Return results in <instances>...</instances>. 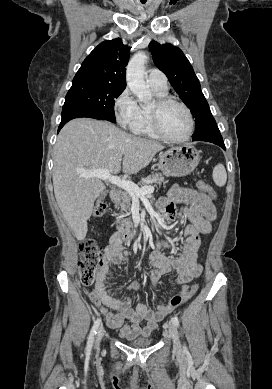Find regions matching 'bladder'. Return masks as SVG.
<instances>
[{
	"label": "bladder",
	"instance_id": "1",
	"mask_svg": "<svg viewBox=\"0 0 272 389\" xmlns=\"http://www.w3.org/2000/svg\"><path fill=\"white\" fill-rule=\"evenodd\" d=\"M151 339H136V340H129V344L132 347L135 348H146L152 345Z\"/></svg>",
	"mask_w": 272,
	"mask_h": 389
}]
</instances>
